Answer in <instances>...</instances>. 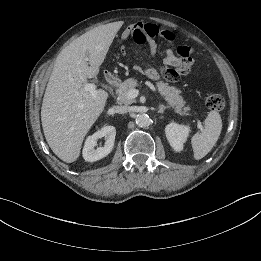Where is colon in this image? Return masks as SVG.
I'll return each mask as SVG.
<instances>
[{
    "label": "colon",
    "instance_id": "5ec220e1",
    "mask_svg": "<svg viewBox=\"0 0 261 261\" xmlns=\"http://www.w3.org/2000/svg\"><path fill=\"white\" fill-rule=\"evenodd\" d=\"M123 27L124 29L120 32V38L122 40L130 39L131 35L135 34L137 31L135 37L140 43H143L145 41V37L149 36L165 39L166 43L170 46L175 45L178 41L177 34L175 32L162 30L158 25H152V23L148 20H144L139 24L131 19H126L123 22ZM162 72L167 80L171 81L173 79V72L171 70L163 68ZM206 106L211 111L220 112L225 107V100L222 96L213 94L207 97Z\"/></svg>",
    "mask_w": 261,
    "mask_h": 261
}]
</instances>
